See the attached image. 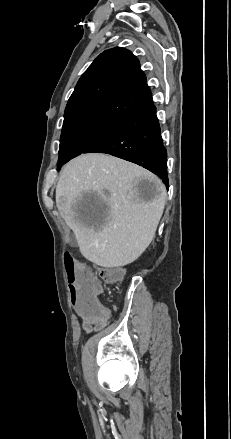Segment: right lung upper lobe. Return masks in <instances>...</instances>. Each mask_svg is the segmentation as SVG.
<instances>
[{
  "label": "right lung upper lobe",
  "instance_id": "obj_1",
  "mask_svg": "<svg viewBox=\"0 0 231 439\" xmlns=\"http://www.w3.org/2000/svg\"><path fill=\"white\" fill-rule=\"evenodd\" d=\"M150 101L152 94L138 59L117 47L101 53L81 76L64 118L86 113L125 118Z\"/></svg>",
  "mask_w": 231,
  "mask_h": 439
}]
</instances>
